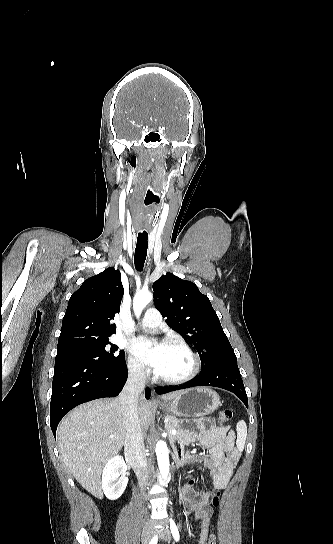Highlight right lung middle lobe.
I'll use <instances>...</instances> for the list:
<instances>
[{
    "mask_svg": "<svg viewBox=\"0 0 333 544\" xmlns=\"http://www.w3.org/2000/svg\"><path fill=\"white\" fill-rule=\"evenodd\" d=\"M118 346L111 344L108 338L81 343L57 349V356L78 357L105 367H117L125 362V353H115Z\"/></svg>",
    "mask_w": 333,
    "mask_h": 544,
    "instance_id": "1",
    "label": "right lung middle lobe"
}]
</instances>
